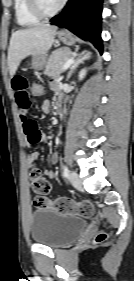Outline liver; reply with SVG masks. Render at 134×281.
<instances>
[{"mask_svg":"<svg viewBox=\"0 0 134 281\" xmlns=\"http://www.w3.org/2000/svg\"><path fill=\"white\" fill-rule=\"evenodd\" d=\"M57 27L39 24L12 33L8 49V68L13 77L21 61L29 55H46L53 45Z\"/></svg>","mask_w":134,"mask_h":281,"instance_id":"obj_1","label":"liver"}]
</instances>
